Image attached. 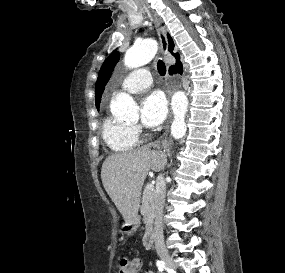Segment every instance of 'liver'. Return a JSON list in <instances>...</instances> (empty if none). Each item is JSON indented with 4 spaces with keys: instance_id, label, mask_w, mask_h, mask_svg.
Segmentation results:
<instances>
[{
    "instance_id": "1",
    "label": "liver",
    "mask_w": 285,
    "mask_h": 273,
    "mask_svg": "<svg viewBox=\"0 0 285 273\" xmlns=\"http://www.w3.org/2000/svg\"><path fill=\"white\" fill-rule=\"evenodd\" d=\"M151 147L158 148V144L112 154L102 164L103 186L127 223L138 218L141 189L148 172H158L167 163L165 154Z\"/></svg>"
}]
</instances>
